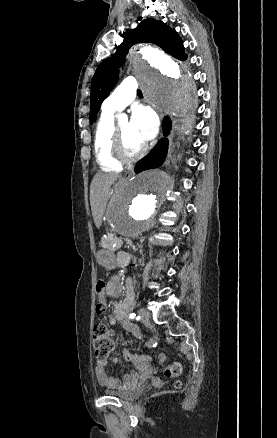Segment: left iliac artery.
<instances>
[{
  "label": "left iliac artery",
  "mask_w": 277,
  "mask_h": 438,
  "mask_svg": "<svg viewBox=\"0 0 277 438\" xmlns=\"http://www.w3.org/2000/svg\"><path fill=\"white\" fill-rule=\"evenodd\" d=\"M135 316H136V314H135V313H131V314L129 315V318H131V319H134V318H135ZM138 318H140V317L138 316Z\"/></svg>",
  "instance_id": "1"
}]
</instances>
